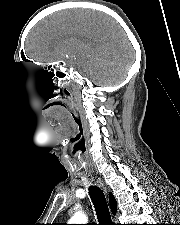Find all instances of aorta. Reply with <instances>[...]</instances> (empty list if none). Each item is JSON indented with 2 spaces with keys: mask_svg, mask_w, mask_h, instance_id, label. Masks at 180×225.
<instances>
[{
  "mask_svg": "<svg viewBox=\"0 0 180 225\" xmlns=\"http://www.w3.org/2000/svg\"><path fill=\"white\" fill-rule=\"evenodd\" d=\"M87 218L82 213H76L69 221V224H86Z\"/></svg>",
  "mask_w": 180,
  "mask_h": 225,
  "instance_id": "762f6f07",
  "label": "aorta"
}]
</instances>
